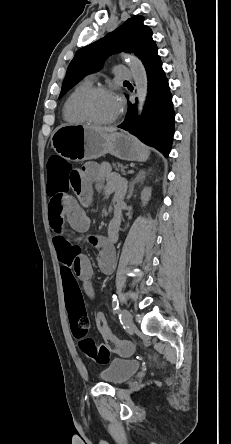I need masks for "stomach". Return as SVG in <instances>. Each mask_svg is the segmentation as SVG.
Returning <instances> with one entry per match:
<instances>
[{
  "mask_svg": "<svg viewBox=\"0 0 231 444\" xmlns=\"http://www.w3.org/2000/svg\"><path fill=\"white\" fill-rule=\"evenodd\" d=\"M51 145L61 157L74 161L97 159L106 154L129 161H145L149 156L148 150L126 133H99L78 124L57 127Z\"/></svg>",
  "mask_w": 231,
  "mask_h": 444,
  "instance_id": "stomach-1",
  "label": "stomach"
}]
</instances>
